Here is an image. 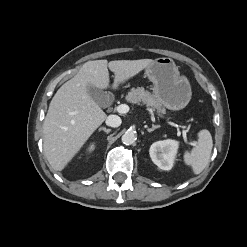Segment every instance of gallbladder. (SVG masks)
<instances>
[{"label": "gallbladder", "mask_w": 247, "mask_h": 247, "mask_svg": "<svg viewBox=\"0 0 247 247\" xmlns=\"http://www.w3.org/2000/svg\"><path fill=\"white\" fill-rule=\"evenodd\" d=\"M88 92L97 104L104 105L106 103L108 98L107 92L91 85L88 86Z\"/></svg>", "instance_id": "gallbladder-1"}]
</instances>
